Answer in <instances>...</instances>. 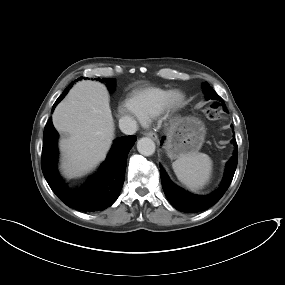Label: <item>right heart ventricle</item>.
I'll use <instances>...</instances> for the list:
<instances>
[{
	"instance_id": "e07e8e85",
	"label": "right heart ventricle",
	"mask_w": 285,
	"mask_h": 285,
	"mask_svg": "<svg viewBox=\"0 0 285 285\" xmlns=\"http://www.w3.org/2000/svg\"><path fill=\"white\" fill-rule=\"evenodd\" d=\"M169 92L157 87L135 89L129 93L126 104L140 119L148 121L162 113Z\"/></svg>"
}]
</instances>
